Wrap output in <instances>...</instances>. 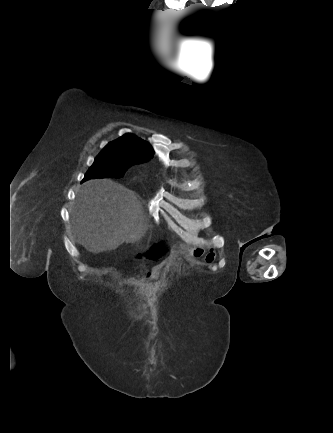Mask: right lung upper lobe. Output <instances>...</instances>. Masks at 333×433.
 Instances as JSON below:
<instances>
[{
  "instance_id": "cb5924a9",
  "label": "right lung upper lobe",
  "mask_w": 333,
  "mask_h": 433,
  "mask_svg": "<svg viewBox=\"0 0 333 433\" xmlns=\"http://www.w3.org/2000/svg\"><path fill=\"white\" fill-rule=\"evenodd\" d=\"M102 151L119 156H132L137 158L139 163L148 161L154 154V150L147 142L132 134H125L110 142Z\"/></svg>"
}]
</instances>
